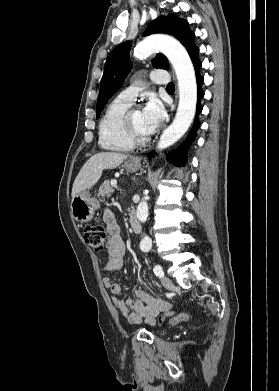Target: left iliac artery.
Returning <instances> with one entry per match:
<instances>
[{
    "label": "left iliac artery",
    "mask_w": 279,
    "mask_h": 391,
    "mask_svg": "<svg viewBox=\"0 0 279 391\" xmlns=\"http://www.w3.org/2000/svg\"><path fill=\"white\" fill-rule=\"evenodd\" d=\"M153 271H154L155 275L160 278L164 276V272H163L162 267L160 265H156L154 267Z\"/></svg>",
    "instance_id": "left-iliac-artery-1"
}]
</instances>
